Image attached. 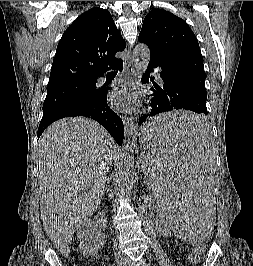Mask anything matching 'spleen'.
Returning a JSON list of instances; mask_svg holds the SVG:
<instances>
[{
    "instance_id": "obj_1",
    "label": "spleen",
    "mask_w": 253,
    "mask_h": 266,
    "mask_svg": "<svg viewBox=\"0 0 253 266\" xmlns=\"http://www.w3.org/2000/svg\"><path fill=\"white\" fill-rule=\"evenodd\" d=\"M202 120L206 115L201 111H163L150 117L146 130L157 137L149 139L139 166L154 204L171 219L183 248H205L217 233L210 201L214 142L205 135L208 123Z\"/></svg>"
}]
</instances>
